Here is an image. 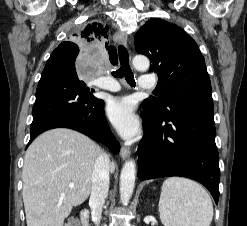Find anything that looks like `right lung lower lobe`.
Masks as SVG:
<instances>
[{"instance_id":"98d812e1","label":"right lung lower lobe","mask_w":247,"mask_h":226,"mask_svg":"<svg viewBox=\"0 0 247 226\" xmlns=\"http://www.w3.org/2000/svg\"><path fill=\"white\" fill-rule=\"evenodd\" d=\"M77 55L69 49L56 48L48 59L36 91L28 145L42 132L63 127L106 144L116 154L120 145L107 124L104 102L78 79Z\"/></svg>"}]
</instances>
